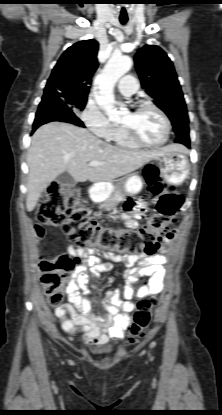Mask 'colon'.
<instances>
[{"label": "colon", "instance_id": "colon-1", "mask_svg": "<svg viewBox=\"0 0 222 415\" xmlns=\"http://www.w3.org/2000/svg\"><path fill=\"white\" fill-rule=\"evenodd\" d=\"M144 176L156 202L155 214L143 226L122 231L111 230L90 218L79 188L53 182L47 187L37 209L38 234L43 233L44 227L60 226L68 239L80 249L99 254L116 251L125 255H152L168 232L169 224L182 204V198L159 181L154 168H146ZM147 207V200L138 203V208L142 211L147 210ZM75 263L73 258L66 255L56 261H40L41 280L51 306L60 304L62 286ZM156 303L153 298L138 302L130 329V340L144 335Z\"/></svg>", "mask_w": 222, "mask_h": 415}]
</instances>
